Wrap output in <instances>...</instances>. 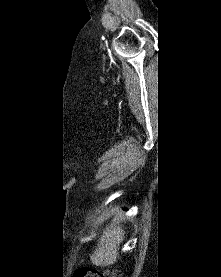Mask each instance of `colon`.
<instances>
[{
	"mask_svg": "<svg viewBox=\"0 0 221 277\" xmlns=\"http://www.w3.org/2000/svg\"><path fill=\"white\" fill-rule=\"evenodd\" d=\"M73 277H120V273L117 270L98 271L93 268H79Z\"/></svg>",
	"mask_w": 221,
	"mask_h": 277,
	"instance_id": "colon-1",
	"label": "colon"
}]
</instances>
